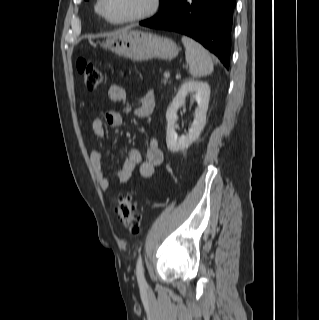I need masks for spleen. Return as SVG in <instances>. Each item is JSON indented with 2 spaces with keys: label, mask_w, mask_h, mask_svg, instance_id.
Here are the masks:
<instances>
[{
  "label": "spleen",
  "mask_w": 319,
  "mask_h": 320,
  "mask_svg": "<svg viewBox=\"0 0 319 320\" xmlns=\"http://www.w3.org/2000/svg\"><path fill=\"white\" fill-rule=\"evenodd\" d=\"M185 57L189 64V71L193 77L206 76L212 73L214 65L206 49L193 39L183 36Z\"/></svg>",
  "instance_id": "1"
}]
</instances>
